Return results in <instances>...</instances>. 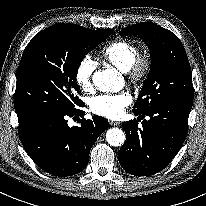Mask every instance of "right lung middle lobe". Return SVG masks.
<instances>
[{
	"instance_id": "right-lung-middle-lobe-1",
	"label": "right lung middle lobe",
	"mask_w": 206,
	"mask_h": 206,
	"mask_svg": "<svg viewBox=\"0 0 206 206\" xmlns=\"http://www.w3.org/2000/svg\"><path fill=\"white\" fill-rule=\"evenodd\" d=\"M112 29L90 30L57 24L38 33L25 48L14 97L19 124L36 117L61 115L83 106L76 75L85 55Z\"/></svg>"
}]
</instances>
